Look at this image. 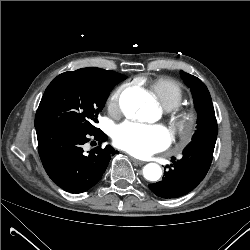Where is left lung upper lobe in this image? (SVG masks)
Returning a JSON list of instances; mask_svg holds the SVG:
<instances>
[{
    "label": "left lung upper lobe",
    "instance_id": "obj_1",
    "mask_svg": "<svg viewBox=\"0 0 250 250\" xmlns=\"http://www.w3.org/2000/svg\"><path fill=\"white\" fill-rule=\"evenodd\" d=\"M181 77L191 89L194 106L198 114L197 130L193 140L218 134V126L210 93L197 77L181 71Z\"/></svg>",
    "mask_w": 250,
    "mask_h": 250
}]
</instances>
